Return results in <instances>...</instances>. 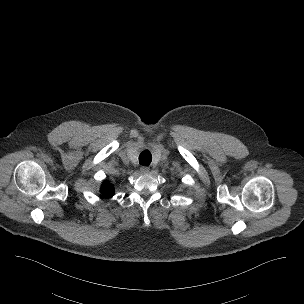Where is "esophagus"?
Here are the masks:
<instances>
[{"instance_id": "1", "label": "esophagus", "mask_w": 304, "mask_h": 304, "mask_svg": "<svg viewBox=\"0 0 304 304\" xmlns=\"http://www.w3.org/2000/svg\"><path fill=\"white\" fill-rule=\"evenodd\" d=\"M149 171H150V168L147 167V166H142V167L140 168V172H141L142 174H147Z\"/></svg>"}]
</instances>
